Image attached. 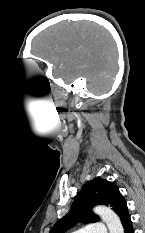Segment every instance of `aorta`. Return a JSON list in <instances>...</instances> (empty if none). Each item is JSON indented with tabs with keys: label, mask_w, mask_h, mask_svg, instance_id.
<instances>
[{
	"label": "aorta",
	"mask_w": 145,
	"mask_h": 233,
	"mask_svg": "<svg viewBox=\"0 0 145 233\" xmlns=\"http://www.w3.org/2000/svg\"><path fill=\"white\" fill-rule=\"evenodd\" d=\"M93 211L106 223L109 233H124L119 217L110 208L98 205Z\"/></svg>",
	"instance_id": "762f6f07"
}]
</instances>
